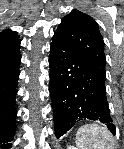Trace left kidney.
<instances>
[{"mask_svg": "<svg viewBox=\"0 0 124 149\" xmlns=\"http://www.w3.org/2000/svg\"><path fill=\"white\" fill-rule=\"evenodd\" d=\"M68 149H76L74 146H69Z\"/></svg>", "mask_w": 124, "mask_h": 149, "instance_id": "obj_1", "label": "left kidney"}]
</instances>
